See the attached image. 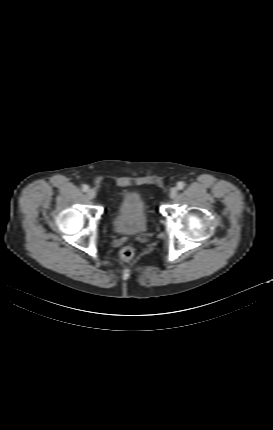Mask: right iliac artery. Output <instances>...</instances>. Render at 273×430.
<instances>
[{
    "mask_svg": "<svg viewBox=\"0 0 273 430\" xmlns=\"http://www.w3.org/2000/svg\"><path fill=\"white\" fill-rule=\"evenodd\" d=\"M88 189H89L88 185H83V186H82V190H83L84 192H87V191H88Z\"/></svg>",
    "mask_w": 273,
    "mask_h": 430,
    "instance_id": "1",
    "label": "right iliac artery"
}]
</instances>
